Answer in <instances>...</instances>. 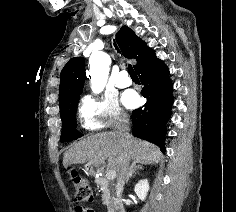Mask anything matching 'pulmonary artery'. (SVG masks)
I'll use <instances>...</instances> for the list:
<instances>
[{
    "label": "pulmonary artery",
    "mask_w": 236,
    "mask_h": 212,
    "mask_svg": "<svg viewBox=\"0 0 236 212\" xmlns=\"http://www.w3.org/2000/svg\"><path fill=\"white\" fill-rule=\"evenodd\" d=\"M132 84V80L129 78L125 71L118 74L117 86L120 88L129 87Z\"/></svg>",
    "instance_id": "e3ab8cb5"
}]
</instances>
